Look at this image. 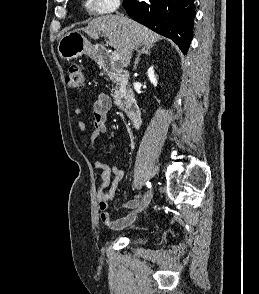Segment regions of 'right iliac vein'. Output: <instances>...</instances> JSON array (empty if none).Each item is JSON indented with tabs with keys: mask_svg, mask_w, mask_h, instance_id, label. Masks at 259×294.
I'll use <instances>...</instances> for the list:
<instances>
[{
	"mask_svg": "<svg viewBox=\"0 0 259 294\" xmlns=\"http://www.w3.org/2000/svg\"><path fill=\"white\" fill-rule=\"evenodd\" d=\"M152 196L153 192L151 190L146 193L138 208V212H142L148 207L149 203L151 202Z\"/></svg>",
	"mask_w": 259,
	"mask_h": 294,
	"instance_id": "63e3f726",
	"label": "right iliac vein"
}]
</instances>
